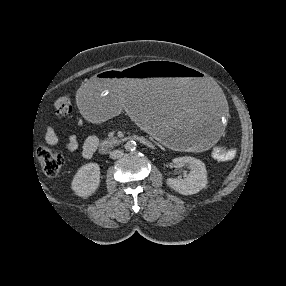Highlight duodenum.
Instances as JSON below:
<instances>
[{
	"instance_id": "410a0bca",
	"label": "duodenum",
	"mask_w": 286,
	"mask_h": 286,
	"mask_svg": "<svg viewBox=\"0 0 286 286\" xmlns=\"http://www.w3.org/2000/svg\"><path fill=\"white\" fill-rule=\"evenodd\" d=\"M127 141H137L142 144L147 143V139L140 135H126L123 137H114L109 139H104L99 142V149L101 152H106L114 147L120 146Z\"/></svg>"
}]
</instances>
